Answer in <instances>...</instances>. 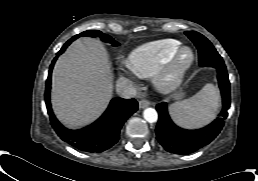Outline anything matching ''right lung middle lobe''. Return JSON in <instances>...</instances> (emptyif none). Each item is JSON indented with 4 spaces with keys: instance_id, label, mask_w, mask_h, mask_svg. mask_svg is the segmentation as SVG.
Segmentation results:
<instances>
[{
    "instance_id": "obj_1",
    "label": "right lung middle lobe",
    "mask_w": 258,
    "mask_h": 181,
    "mask_svg": "<svg viewBox=\"0 0 258 181\" xmlns=\"http://www.w3.org/2000/svg\"><path fill=\"white\" fill-rule=\"evenodd\" d=\"M80 36L99 37L102 41L108 43L109 45H111L113 47H116V46L120 45L118 42H116L109 35H106V34L100 32V31H97V30H88V31L82 32L79 35H76V36L72 37L70 40H68V42L71 43L72 41H74L75 39H77Z\"/></svg>"
}]
</instances>
